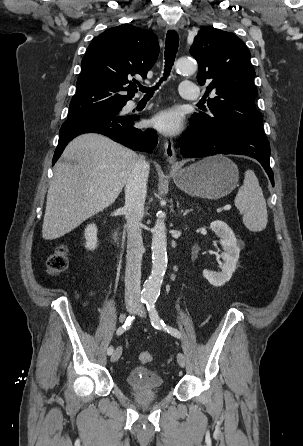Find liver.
Returning a JSON list of instances; mask_svg holds the SVG:
<instances>
[{"label": "liver", "instance_id": "obj_1", "mask_svg": "<svg viewBox=\"0 0 303 446\" xmlns=\"http://www.w3.org/2000/svg\"><path fill=\"white\" fill-rule=\"evenodd\" d=\"M48 189L42 237L64 236L110 206L119 196L138 155L111 139L84 134L73 139Z\"/></svg>", "mask_w": 303, "mask_h": 446}]
</instances>
